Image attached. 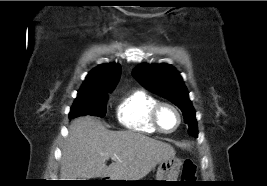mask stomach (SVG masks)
Masks as SVG:
<instances>
[{
  "label": "stomach",
  "mask_w": 267,
  "mask_h": 186,
  "mask_svg": "<svg viewBox=\"0 0 267 186\" xmlns=\"http://www.w3.org/2000/svg\"><path fill=\"white\" fill-rule=\"evenodd\" d=\"M181 167V160L177 157L171 156L163 159L158 166L156 173L155 185L164 186L170 185L171 182L165 181H177Z\"/></svg>",
  "instance_id": "1"
}]
</instances>
